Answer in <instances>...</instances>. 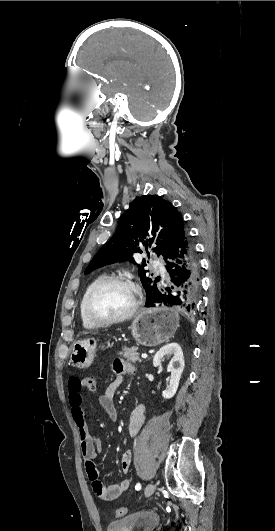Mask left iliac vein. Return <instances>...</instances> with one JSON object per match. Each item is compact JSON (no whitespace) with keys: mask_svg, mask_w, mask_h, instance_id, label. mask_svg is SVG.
<instances>
[{"mask_svg":"<svg viewBox=\"0 0 275 531\" xmlns=\"http://www.w3.org/2000/svg\"><path fill=\"white\" fill-rule=\"evenodd\" d=\"M155 485L153 483H148L145 490H144V494L146 497H149L153 494L154 490H155Z\"/></svg>","mask_w":275,"mask_h":531,"instance_id":"1","label":"left iliac vein"}]
</instances>
